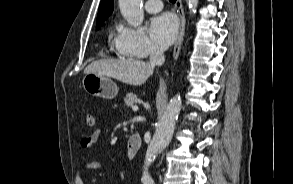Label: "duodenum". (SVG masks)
<instances>
[{"label": "duodenum", "mask_w": 293, "mask_h": 184, "mask_svg": "<svg viewBox=\"0 0 293 184\" xmlns=\"http://www.w3.org/2000/svg\"><path fill=\"white\" fill-rule=\"evenodd\" d=\"M142 141L139 134H132L127 140V155L133 159L141 147Z\"/></svg>", "instance_id": "obj_1"}]
</instances>
